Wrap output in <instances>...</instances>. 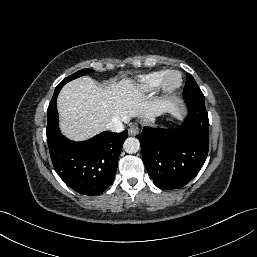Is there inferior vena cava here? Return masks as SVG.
Listing matches in <instances>:
<instances>
[{
    "label": "inferior vena cava",
    "instance_id": "obj_1",
    "mask_svg": "<svg viewBox=\"0 0 257 257\" xmlns=\"http://www.w3.org/2000/svg\"><path fill=\"white\" fill-rule=\"evenodd\" d=\"M105 128L112 132H122L124 130V126L118 117H113L111 121H109Z\"/></svg>",
    "mask_w": 257,
    "mask_h": 257
}]
</instances>
